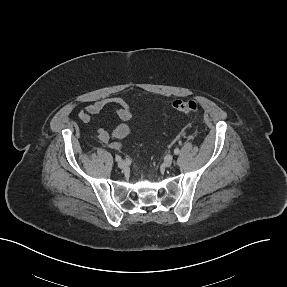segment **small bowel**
I'll return each mask as SVG.
<instances>
[{
	"label": "small bowel",
	"mask_w": 287,
	"mask_h": 287,
	"mask_svg": "<svg viewBox=\"0 0 287 287\" xmlns=\"http://www.w3.org/2000/svg\"><path fill=\"white\" fill-rule=\"evenodd\" d=\"M113 105L117 116L124 121L112 130L98 128L96 138L101 144L108 145L111 149L120 150L122 148L121 140L129 136L132 132L128 122L132 118V112L127 102L120 97H104L92 104H89L85 109L77 112V117L84 123L90 122L95 115L99 114L107 106Z\"/></svg>",
	"instance_id": "c3829d8e"
}]
</instances>
